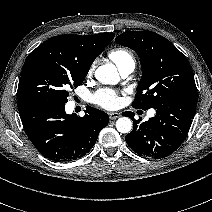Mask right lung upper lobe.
<instances>
[{"label":"right lung upper lobe","instance_id":"cb5924a9","mask_svg":"<svg viewBox=\"0 0 212 212\" xmlns=\"http://www.w3.org/2000/svg\"><path fill=\"white\" fill-rule=\"evenodd\" d=\"M114 33L95 35H59L52 37L26 58L25 63L45 60L80 72H87L94 59L114 38Z\"/></svg>","mask_w":212,"mask_h":212}]
</instances>
